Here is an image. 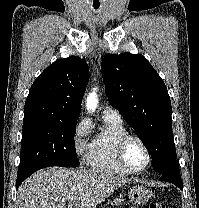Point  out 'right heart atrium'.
Segmentation results:
<instances>
[{
	"mask_svg": "<svg viewBox=\"0 0 199 208\" xmlns=\"http://www.w3.org/2000/svg\"><path fill=\"white\" fill-rule=\"evenodd\" d=\"M90 131L91 123L86 118L80 119L73 131L74 151L83 161L88 158L91 149V144L88 141Z\"/></svg>",
	"mask_w": 199,
	"mask_h": 208,
	"instance_id": "right-heart-atrium-1",
	"label": "right heart atrium"
}]
</instances>
